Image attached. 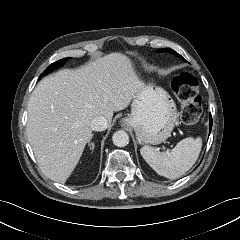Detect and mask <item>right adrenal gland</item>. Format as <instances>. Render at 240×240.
Returning a JSON list of instances; mask_svg holds the SVG:
<instances>
[{"mask_svg": "<svg viewBox=\"0 0 240 240\" xmlns=\"http://www.w3.org/2000/svg\"><path fill=\"white\" fill-rule=\"evenodd\" d=\"M92 137H93V135H92ZM90 141H91V139L88 142V146H90L91 150H94L95 144L93 142H90Z\"/></svg>", "mask_w": 240, "mask_h": 240, "instance_id": "obj_1", "label": "right adrenal gland"}]
</instances>
